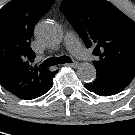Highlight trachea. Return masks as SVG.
<instances>
[{
  "label": "trachea",
  "instance_id": "3493384b",
  "mask_svg": "<svg viewBox=\"0 0 135 135\" xmlns=\"http://www.w3.org/2000/svg\"><path fill=\"white\" fill-rule=\"evenodd\" d=\"M64 63H72L71 58L67 56H60V57H51L46 59L41 66L42 67H48V66H53L57 64H64Z\"/></svg>",
  "mask_w": 135,
  "mask_h": 135
}]
</instances>
